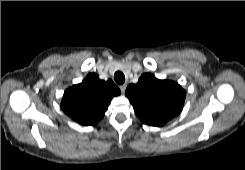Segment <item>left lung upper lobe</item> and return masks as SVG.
<instances>
[{"label":"left lung upper lobe","instance_id":"5c2ea615","mask_svg":"<svg viewBox=\"0 0 245 170\" xmlns=\"http://www.w3.org/2000/svg\"><path fill=\"white\" fill-rule=\"evenodd\" d=\"M125 95L143 123L160 127L180 114L186 92L176 82L145 73L138 83L127 87Z\"/></svg>","mask_w":245,"mask_h":170}]
</instances>
